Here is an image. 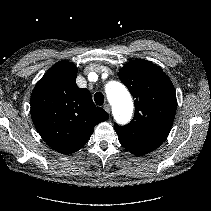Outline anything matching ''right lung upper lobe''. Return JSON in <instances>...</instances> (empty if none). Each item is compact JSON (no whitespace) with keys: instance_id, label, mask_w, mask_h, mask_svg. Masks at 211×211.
I'll return each instance as SVG.
<instances>
[{"instance_id":"cb5924a9","label":"right lung upper lobe","mask_w":211,"mask_h":211,"mask_svg":"<svg viewBox=\"0 0 211 211\" xmlns=\"http://www.w3.org/2000/svg\"><path fill=\"white\" fill-rule=\"evenodd\" d=\"M76 76L75 64L57 62L36 84L30 99L36 129L52 149L63 154L82 148L94 126L109 118L95 106L87 89L78 88Z\"/></svg>"}]
</instances>
